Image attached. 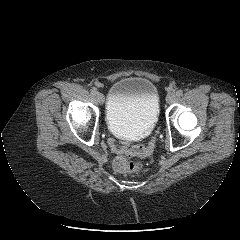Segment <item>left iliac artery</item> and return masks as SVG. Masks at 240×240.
<instances>
[{
	"mask_svg": "<svg viewBox=\"0 0 240 240\" xmlns=\"http://www.w3.org/2000/svg\"><path fill=\"white\" fill-rule=\"evenodd\" d=\"M176 95L179 96V97L182 96V95H183V91H182V90H178V91L176 92Z\"/></svg>",
	"mask_w": 240,
	"mask_h": 240,
	"instance_id": "44dca946",
	"label": "left iliac artery"
}]
</instances>
